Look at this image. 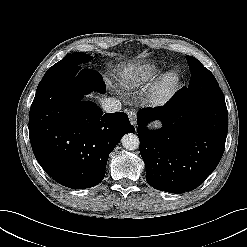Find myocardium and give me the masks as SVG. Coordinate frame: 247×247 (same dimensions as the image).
I'll return each mask as SVG.
<instances>
[{"label": "myocardium", "mask_w": 247, "mask_h": 247, "mask_svg": "<svg viewBox=\"0 0 247 247\" xmlns=\"http://www.w3.org/2000/svg\"><path fill=\"white\" fill-rule=\"evenodd\" d=\"M179 81V77L176 73H168L163 76L160 83L154 87L152 92V100L158 101L161 99L165 93L174 87Z\"/></svg>", "instance_id": "obj_1"}]
</instances>
